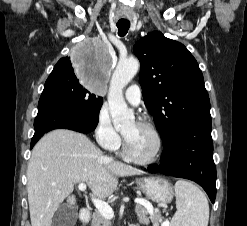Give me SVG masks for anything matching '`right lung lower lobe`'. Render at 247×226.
<instances>
[{"instance_id":"obj_1","label":"right lung lower lobe","mask_w":247,"mask_h":226,"mask_svg":"<svg viewBox=\"0 0 247 226\" xmlns=\"http://www.w3.org/2000/svg\"><path fill=\"white\" fill-rule=\"evenodd\" d=\"M98 121L99 116L87 113L55 95L42 94L34 121L35 133L31 148L50 130L65 128L89 133L96 128Z\"/></svg>"}]
</instances>
